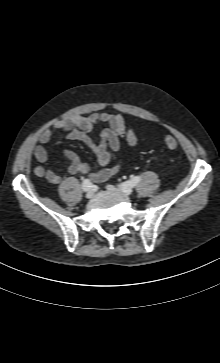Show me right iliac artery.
I'll return each mask as SVG.
<instances>
[{
    "label": "right iliac artery",
    "mask_w": 220,
    "mask_h": 363,
    "mask_svg": "<svg viewBox=\"0 0 220 363\" xmlns=\"http://www.w3.org/2000/svg\"><path fill=\"white\" fill-rule=\"evenodd\" d=\"M91 187H92V183L90 182V180L89 179H84L83 183H82V189L84 191H88V190L91 189Z\"/></svg>",
    "instance_id": "1"
}]
</instances>
